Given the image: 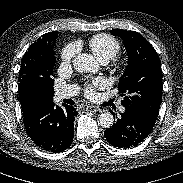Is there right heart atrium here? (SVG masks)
Masks as SVG:
<instances>
[{"mask_svg": "<svg viewBox=\"0 0 183 183\" xmlns=\"http://www.w3.org/2000/svg\"><path fill=\"white\" fill-rule=\"evenodd\" d=\"M76 46L74 44L66 45L61 51L62 65L70 64L76 54Z\"/></svg>", "mask_w": 183, "mask_h": 183, "instance_id": "d8ad5b80", "label": "right heart atrium"}]
</instances>
